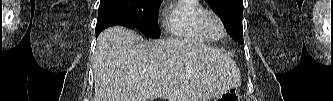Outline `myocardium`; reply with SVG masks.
Listing matches in <instances>:
<instances>
[{
	"label": "myocardium",
	"mask_w": 333,
	"mask_h": 101,
	"mask_svg": "<svg viewBox=\"0 0 333 101\" xmlns=\"http://www.w3.org/2000/svg\"><path fill=\"white\" fill-rule=\"evenodd\" d=\"M209 16L214 17L218 21V23L221 27V35L218 36V37L212 35V33L210 32V30L207 26V18ZM198 24H199V27L202 30V32L205 35H207L210 38V40H214V41L221 40L227 34V29H226V26H225V23H224L223 19L221 18V16L217 12H215L213 10L204 9L203 11H201V13L198 16Z\"/></svg>",
	"instance_id": "f54148a6"
}]
</instances>
